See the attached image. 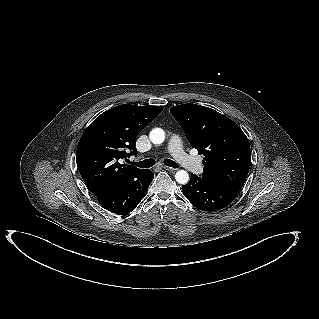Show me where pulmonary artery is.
Masks as SVG:
<instances>
[{"label":"pulmonary artery","mask_w":319,"mask_h":319,"mask_svg":"<svg viewBox=\"0 0 319 319\" xmlns=\"http://www.w3.org/2000/svg\"><path fill=\"white\" fill-rule=\"evenodd\" d=\"M169 153L187 170L200 174L203 172V165L200 160L187 154L182 147L180 137L174 135L168 144Z\"/></svg>","instance_id":"e3ab8cb5"}]
</instances>
